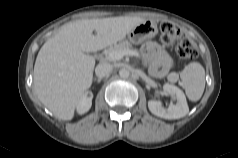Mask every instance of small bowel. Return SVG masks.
Instances as JSON below:
<instances>
[{"label": "small bowel", "instance_id": "obj_1", "mask_svg": "<svg viewBox=\"0 0 238 158\" xmlns=\"http://www.w3.org/2000/svg\"><path fill=\"white\" fill-rule=\"evenodd\" d=\"M143 53L153 76L162 78L168 75L173 67V59L167 51L150 41L143 46Z\"/></svg>", "mask_w": 238, "mask_h": 158}]
</instances>
